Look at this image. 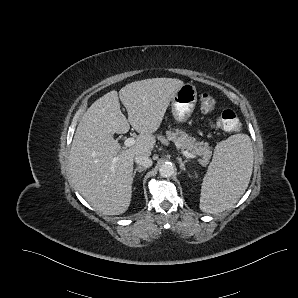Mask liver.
Instances as JSON below:
<instances>
[{
  "label": "liver",
  "mask_w": 298,
  "mask_h": 298,
  "mask_svg": "<svg viewBox=\"0 0 298 298\" xmlns=\"http://www.w3.org/2000/svg\"><path fill=\"white\" fill-rule=\"evenodd\" d=\"M184 84L181 79L157 77L126 84L98 98L76 129L69 168L76 189L105 215L124 213L131 198L133 158L149 156L170 100ZM127 110V118L120 109ZM140 133L136 143L122 148L113 134Z\"/></svg>",
  "instance_id": "liver-1"
}]
</instances>
